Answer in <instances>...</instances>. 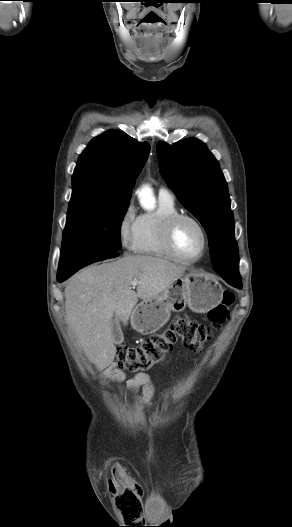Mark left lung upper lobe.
I'll use <instances>...</instances> for the list:
<instances>
[{
  "mask_svg": "<svg viewBox=\"0 0 292 527\" xmlns=\"http://www.w3.org/2000/svg\"><path fill=\"white\" fill-rule=\"evenodd\" d=\"M160 173L182 205L204 226L213 265L239 268L227 183L205 144L188 138L157 143Z\"/></svg>",
  "mask_w": 292,
  "mask_h": 527,
  "instance_id": "5c2ea615",
  "label": "left lung upper lobe"
}]
</instances>
